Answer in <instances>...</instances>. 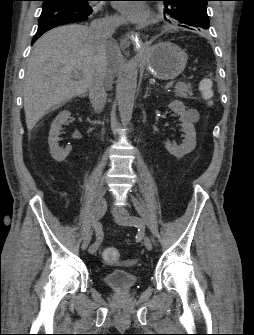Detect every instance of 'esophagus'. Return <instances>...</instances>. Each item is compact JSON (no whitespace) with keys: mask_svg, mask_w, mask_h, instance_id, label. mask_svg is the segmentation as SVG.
Masks as SVG:
<instances>
[{"mask_svg":"<svg viewBox=\"0 0 254 335\" xmlns=\"http://www.w3.org/2000/svg\"><path fill=\"white\" fill-rule=\"evenodd\" d=\"M131 43L139 49L143 50L145 48V44L142 42L140 34L134 31H130L125 34V36L120 40V46L123 49H126Z\"/></svg>","mask_w":254,"mask_h":335,"instance_id":"34e87169","label":"esophagus"}]
</instances>
